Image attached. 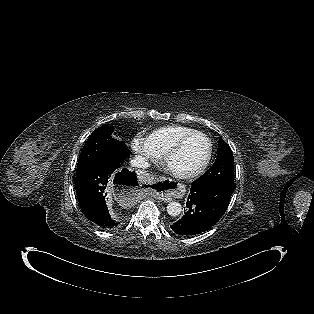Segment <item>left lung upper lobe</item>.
<instances>
[{"instance_id": "1", "label": "left lung upper lobe", "mask_w": 314, "mask_h": 314, "mask_svg": "<svg viewBox=\"0 0 314 314\" xmlns=\"http://www.w3.org/2000/svg\"><path fill=\"white\" fill-rule=\"evenodd\" d=\"M197 183L234 182V159L231 148L222 139L218 142V154L209 170L195 180Z\"/></svg>"}]
</instances>
